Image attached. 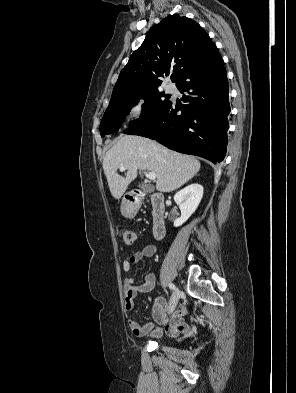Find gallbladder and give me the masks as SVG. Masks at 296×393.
Segmentation results:
<instances>
[{"instance_id":"obj_1","label":"gallbladder","mask_w":296,"mask_h":393,"mask_svg":"<svg viewBox=\"0 0 296 393\" xmlns=\"http://www.w3.org/2000/svg\"><path fill=\"white\" fill-rule=\"evenodd\" d=\"M140 187H141V189H142L144 192H147V193H150V192L153 191V187L150 186V185H141Z\"/></svg>"}]
</instances>
